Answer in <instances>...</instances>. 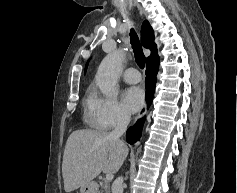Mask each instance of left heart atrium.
Listing matches in <instances>:
<instances>
[{
  "label": "left heart atrium",
  "instance_id": "39dd6f15",
  "mask_svg": "<svg viewBox=\"0 0 237 193\" xmlns=\"http://www.w3.org/2000/svg\"><path fill=\"white\" fill-rule=\"evenodd\" d=\"M123 102L129 111L135 112L139 110L144 102L143 89L138 86L127 88L123 93Z\"/></svg>",
  "mask_w": 237,
  "mask_h": 193
}]
</instances>
